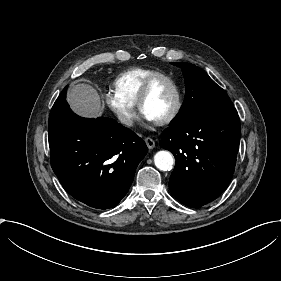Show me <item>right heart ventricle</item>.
<instances>
[{"label": "right heart ventricle", "mask_w": 281, "mask_h": 281, "mask_svg": "<svg viewBox=\"0 0 281 281\" xmlns=\"http://www.w3.org/2000/svg\"><path fill=\"white\" fill-rule=\"evenodd\" d=\"M166 74L155 68L138 67L125 71L114 80L115 92L130 105H136L146 82L153 76Z\"/></svg>", "instance_id": "right-heart-ventricle-1"}]
</instances>
